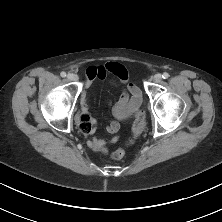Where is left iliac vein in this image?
Masks as SVG:
<instances>
[{"label":"left iliac vein","instance_id":"1","mask_svg":"<svg viewBox=\"0 0 222 222\" xmlns=\"http://www.w3.org/2000/svg\"><path fill=\"white\" fill-rule=\"evenodd\" d=\"M161 80H162L161 74H156V75L153 77V81L156 82V83H159Z\"/></svg>","mask_w":222,"mask_h":222}]
</instances>
